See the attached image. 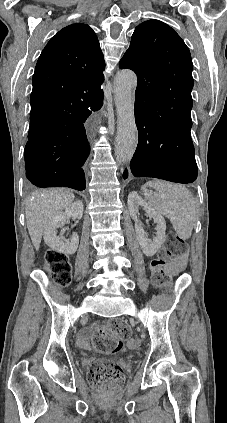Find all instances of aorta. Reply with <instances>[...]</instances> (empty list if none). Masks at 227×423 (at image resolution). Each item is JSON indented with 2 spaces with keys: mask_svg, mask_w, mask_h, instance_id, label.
Here are the masks:
<instances>
[{
  "mask_svg": "<svg viewBox=\"0 0 227 423\" xmlns=\"http://www.w3.org/2000/svg\"><path fill=\"white\" fill-rule=\"evenodd\" d=\"M137 76L131 70H122L114 80L115 103L118 114L115 156L119 163L129 162L136 150L138 131L134 118V92Z\"/></svg>",
  "mask_w": 227,
  "mask_h": 423,
  "instance_id": "aorta-1",
  "label": "aorta"
}]
</instances>
